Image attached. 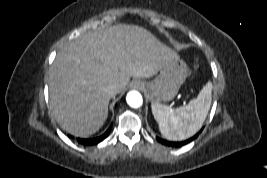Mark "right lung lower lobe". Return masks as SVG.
Listing matches in <instances>:
<instances>
[{
    "mask_svg": "<svg viewBox=\"0 0 267 178\" xmlns=\"http://www.w3.org/2000/svg\"><path fill=\"white\" fill-rule=\"evenodd\" d=\"M111 128L112 126L109 127V129L103 134L101 135L100 137H97V138H94V139H78V142L83 144V145H94V144H97L99 143L100 141H102L103 139H105L110 131H111Z\"/></svg>",
    "mask_w": 267,
    "mask_h": 178,
    "instance_id": "obj_1",
    "label": "right lung lower lobe"
}]
</instances>
